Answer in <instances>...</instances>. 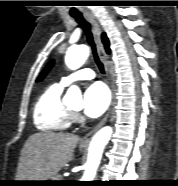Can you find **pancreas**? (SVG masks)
I'll list each match as a JSON object with an SVG mask.
<instances>
[{"mask_svg": "<svg viewBox=\"0 0 178 186\" xmlns=\"http://www.w3.org/2000/svg\"><path fill=\"white\" fill-rule=\"evenodd\" d=\"M55 180H62V176L61 175H58V174H56V175H54V177H53Z\"/></svg>", "mask_w": 178, "mask_h": 186, "instance_id": "pancreas-1", "label": "pancreas"}]
</instances>
